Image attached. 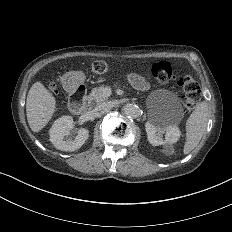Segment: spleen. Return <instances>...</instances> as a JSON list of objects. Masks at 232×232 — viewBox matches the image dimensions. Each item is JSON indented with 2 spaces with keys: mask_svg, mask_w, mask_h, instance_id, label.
Masks as SVG:
<instances>
[{
  "mask_svg": "<svg viewBox=\"0 0 232 232\" xmlns=\"http://www.w3.org/2000/svg\"><path fill=\"white\" fill-rule=\"evenodd\" d=\"M209 107L207 102L198 104L186 122V142L184 154L190 153L202 139L208 123Z\"/></svg>",
  "mask_w": 232,
  "mask_h": 232,
  "instance_id": "1",
  "label": "spleen"
}]
</instances>
